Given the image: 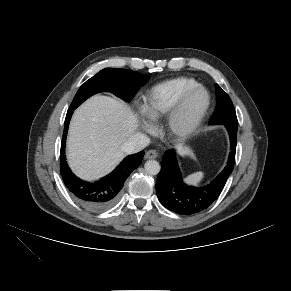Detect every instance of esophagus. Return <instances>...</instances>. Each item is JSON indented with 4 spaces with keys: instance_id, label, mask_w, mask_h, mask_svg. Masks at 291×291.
I'll list each match as a JSON object with an SVG mask.
<instances>
[{
    "instance_id": "34e87169",
    "label": "esophagus",
    "mask_w": 291,
    "mask_h": 291,
    "mask_svg": "<svg viewBox=\"0 0 291 291\" xmlns=\"http://www.w3.org/2000/svg\"><path fill=\"white\" fill-rule=\"evenodd\" d=\"M158 156V152L156 150H148L145 154L146 159H155Z\"/></svg>"
}]
</instances>
